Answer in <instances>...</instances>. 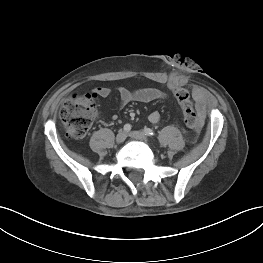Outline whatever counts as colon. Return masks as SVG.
Wrapping results in <instances>:
<instances>
[{
    "label": "colon",
    "mask_w": 263,
    "mask_h": 263,
    "mask_svg": "<svg viewBox=\"0 0 263 263\" xmlns=\"http://www.w3.org/2000/svg\"><path fill=\"white\" fill-rule=\"evenodd\" d=\"M173 94L179 103L186 126L194 131L199 129L201 120L193 108L189 92L174 87ZM96 114L95 94L86 93L72 96L61 107L59 116L68 137L79 139L86 135Z\"/></svg>",
    "instance_id": "5ec220e1"
}]
</instances>
